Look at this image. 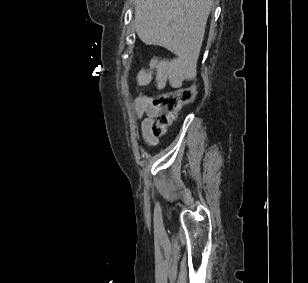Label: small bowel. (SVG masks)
<instances>
[{
	"label": "small bowel",
	"instance_id": "obj_1",
	"mask_svg": "<svg viewBox=\"0 0 308 283\" xmlns=\"http://www.w3.org/2000/svg\"><path fill=\"white\" fill-rule=\"evenodd\" d=\"M195 64L193 61L180 60L178 58H164L153 60L150 67L141 69L136 77V86L145 87L153 84L155 89L164 90L168 84L180 85L184 80L191 79L195 75ZM134 108L137 118L141 120V130L144 144L150 147L158 144L157 137L152 132L154 119L158 114L150 102V98L142 92L138 93Z\"/></svg>",
	"mask_w": 308,
	"mask_h": 283
}]
</instances>
